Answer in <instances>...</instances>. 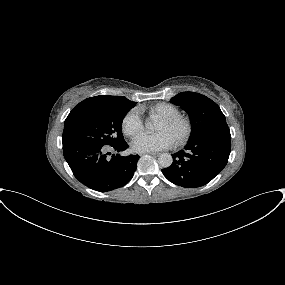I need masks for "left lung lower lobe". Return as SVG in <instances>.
Segmentation results:
<instances>
[{"label": "left lung lower lobe", "instance_id": "obj_1", "mask_svg": "<svg viewBox=\"0 0 285 285\" xmlns=\"http://www.w3.org/2000/svg\"><path fill=\"white\" fill-rule=\"evenodd\" d=\"M184 149L173 155V163L162 169V173L178 186L201 187L226 166L231 151V135L217 132L202 134L190 139Z\"/></svg>", "mask_w": 285, "mask_h": 285}]
</instances>
